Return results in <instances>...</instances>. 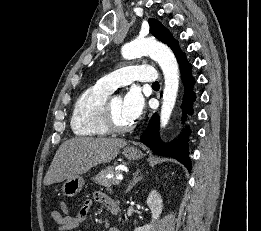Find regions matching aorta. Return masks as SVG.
Listing matches in <instances>:
<instances>
[{"label": "aorta", "instance_id": "aorta-1", "mask_svg": "<svg viewBox=\"0 0 261 231\" xmlns=\"http://www.w3.org/2000/svg\"><path fill=\"white\" fill-rule=\"evenodd\" d=\"M149 55L161 67L164 75V92L160 113V125L164 128L175 106L178 87L179 69L173 52L164 44L148 40H133L122 48V56L125 59H134L139 56Z\"/></svg>", "mask_w": 261, "mask_h": 231}]
</instances>
